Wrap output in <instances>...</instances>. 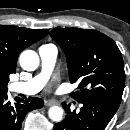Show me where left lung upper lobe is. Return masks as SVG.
Returning a JSON list of instances; mask_svg holds the SVG:
<instances>
[{
  "instance_id": "obj_1",
  "label": "left lung upper lobe",
  "mask_w": 130,
  "mask_h": 130,
  "mask_svg": "<svg viewBox=\"0 0 130 130\" xmlns=\"http://www.w3.org/2000/svg\"><path fill=\"white\" fill-rule=\"evenodd\" d=\"M50 36L63 49L69 80L79 83L72 97L80 102L99 99L119 107L125 72L121 52L116 43L92 29H54Z\"/></svg>"
}]
</instances>
